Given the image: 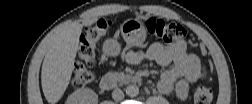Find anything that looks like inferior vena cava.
<instances>
[{
  "label": "inferior vena cava",
  "mask_w": 252,
  "mask_h": 104,
  "mask_svg": "<svg viewBox=\"0 0 252 104\" xmlns=\"http://www.w3.org/2000/svg\"><path fill=\"white\" fill-rule=\"evenodd\" d=\"M112 98L115 101H122L124 99V93H123V91L121 89H119V88H116L112 92Z\"/></svg>",
  "instance_id": "1"
}]
</instances>
